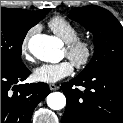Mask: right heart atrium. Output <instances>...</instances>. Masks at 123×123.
Here are the masks:
<instances>
[{
  "label": "right heart atrium",
  "instance_id": "1",
  "mask_svg": "<svg viewBox=\"0 0 123 123\" xmlns=\"http://www.w3.org/2000/svg\"><path fill=\"white\" fill-rule=\"evenodd\" d=\"M35 30L36 28H32L31 30H29L21 43V48H20L21 55L27 60L31 59L29 51H28V40H29V37L35 32Z\"/></svg>",
  "mask_w": 123,
  "mask_h": 123
}]
</instances>
